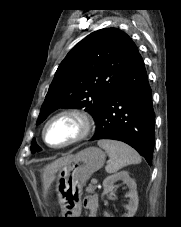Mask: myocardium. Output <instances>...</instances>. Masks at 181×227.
<instances>
[{
    "label": "myocardium",
    "instance_id": "f54148a6",
    "mask_svg": "<svg viewBox=\"0 0 181 227\" xmlns=\"http://www.w3.org/2000/svg\"><path fill=\"white\" fill-rule=\"evenodd\" d=\"M61 117H69L77 121L79 124V131L73 138L66 141L65 143L61 145H51L46 139L47 128L53 121ZM93 127V118L87 111L78 108H66L58 111L45 122L42 128V139L47 146L54 149H61L85 140L92 133Z\"/></svg>",
    "mask_w": 181,
    "mask_h": 227
}]
</instances>
